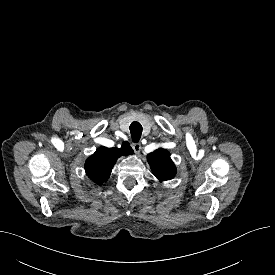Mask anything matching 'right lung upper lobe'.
Returning <instances> with one entry per match:
<instances>
[{
  "instance_id": "right-lung-upper-lobe-1",
  "label": "right lung upper lobe",
  "mask_w": 275,
  "mask_h": 275,
  "mask_svg": "<svg viewBox=\"0 0 275 275\" xmlns=\"http://www.w3.org/2000/svg\"><path fill=\"white\" fill-rule=\"evenodd\" d=\"M133 154L128 142H123L121 148L100 147L85 163V171L96 184L107 181L116 160L123 155Z\"/></svg>"
}]
</instances>
